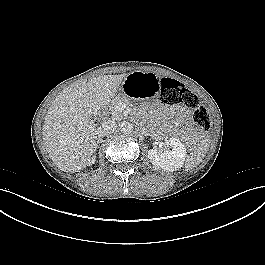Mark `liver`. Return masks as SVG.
<instances>
[{
	"label": "liver",
	"instance_id": "6515ba94",
	"mask_svg": "<svg viewBox=\"0 0 265 265\" xmlns=\"http://www.w3.org/2000/svg\"><path fill=\"white\" fill-rule=\"evenodd\" d=\"M126 74L81 80L64 89L52 102L43 125V142L56 166L77 172L88 166L97 149L91 116L108 105Z\"/></svg>",
	"mask_w": 265,
	"mask_h": 265
}]
</instances>
